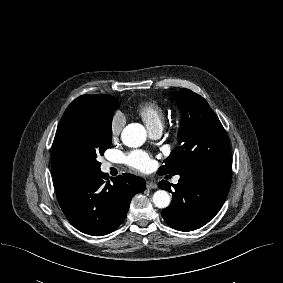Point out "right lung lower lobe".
Segmentation results:
<instances>
[{"label":"right lung lower lobe","instance_id":"right-lung-lower-lobe-1","mask_svg":"<svg viewBox=\"0 0 283 283\" xmlns=\"http://www.w3.org/2000/svg\"><path fill=\"white\" fill-rule=\"evenodd\" d=\"M100 170L57 191L59 205L68 221L83 233L102 236L125 219L132 197L144 191L145 180L124 173L105 181Z\"/></svg>","mask_w":283,"mask_h":283}]
</instances>
